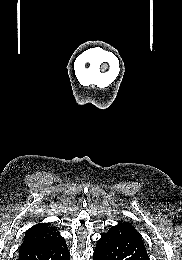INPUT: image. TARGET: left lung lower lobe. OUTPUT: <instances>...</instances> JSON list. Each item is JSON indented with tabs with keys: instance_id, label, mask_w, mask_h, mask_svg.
<instances>
[{
	"instance_id": "1",
	"label": "left lung lower lobe",
	"mask_w": 182,
	"mask_h": 260,
	"mask_svg": "<svg viewBox=\"0 0 182 260\" xmlns=\"http://www.w3.org/2000/svg\"><path fill=\"white\" fill-rule=\"evenodd\" d=\"M93 260H150L141 235L132 229L114 226L97 241Z\"/></svg>"
}]
</instances>
